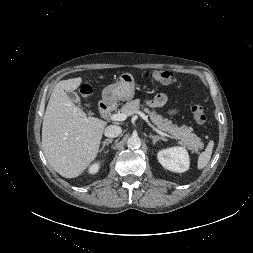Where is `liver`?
I'll return each mask as SVG.
<instances>
[{
	"label": "liver",
	"mask_w": 253,
	"mask_h": 253,
	"mask_svg": "<svg viewBox=\"0 0 253 253\" xmlns=\"http://www.w3.org/2000/svg\"><path fill=\"white\" fill-rule=\"evenodd\" d=\"M81 77L62 80L54 87L43 118L42 148L52 168L65 178L82 174L97 157L107 123L86 113L68 97Z\"/></svg>",
	"instance_id": "liver-1"
}]
</instances>
